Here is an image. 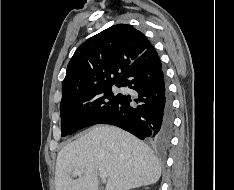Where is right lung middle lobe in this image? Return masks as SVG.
Instances as JSON below:
<instances>
[{"label": "right lung middle lobe", "instance_id": "dd1d6c3e", "mask_svg": "<svg viewBox=\"0 0 234 190\" xmlns=\"http://www.w3.org/2000/svg\"><path fill=\"white\" fill-rule=\"evenodd\" d=\"M116 86H118L116 84ZM112 85L82 93L60 104L62 136L95 125L117 105L120 94H113Z\"/></svg>", "mask_w": 234, "mask_h": 190}]
</instances>
